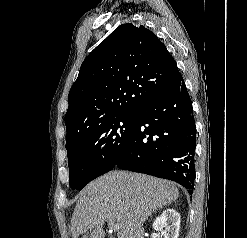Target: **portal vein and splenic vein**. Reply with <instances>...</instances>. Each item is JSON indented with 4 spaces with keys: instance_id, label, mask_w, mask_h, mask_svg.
Here are the masks:
<instances>
[{
    "instance_id": "portal-vein-and-splenic-vein-1",
    "label": "portal vein and splenic vein",
    "mask_w": 247,
    "mask_h": 238,
    "mask_svg": "<svg viewBox=\"0 0 247 238\" xmlns=\"http://www.w3.org/2000/svg\"><path fill=\"white\" fill-rule=\"evenodd\" d=\"M109 227L112 231H118L120 229L119 223H115L113 221H109Z\"/></svg>"
}]
</instances>
